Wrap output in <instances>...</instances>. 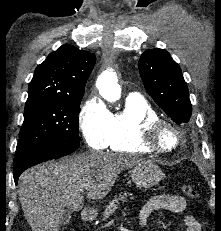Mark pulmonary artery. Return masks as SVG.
Wrapping results in <instances>:
<instances>
[{"instance_id":"1","label":"pulmonary artery","mask_w":221,"mask_h":231,"mask_svg":"<svg viewBox=\"0 0 221 231\" xmlns=\"http://www.w3.org/2000/svg\"><path fill=\"white\" fill-rule=\"evenodd\" d=\"M129 96H130V97H139V94H138V93H135V92H132V93H130Z\"/></svg>"}]
</instances>
